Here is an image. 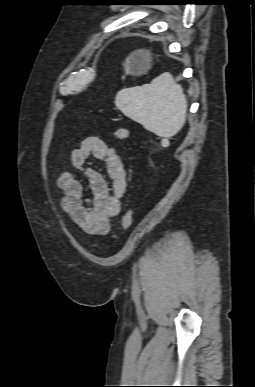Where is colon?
Masks as SVG:
<instances>
[{"mask_svg": "<svg viewBox=\"0 0 255 387\" xmlns=\"http://www.w3.org/2000/svg\"><path fill=\"white\" fill-rule=\"evenodd\" d=\"M114 135L118 140L125 141L129 138L130 133L126 127L118 126L115 129ZM132 223H133V211L129 209L124 213L122 217L121 226L123 229H128L132 225Z\"/></svg>", "mask_w": 255, "mask_h": 387, "instance_id": "colon-1", "label": "colon"}]
</instances>
